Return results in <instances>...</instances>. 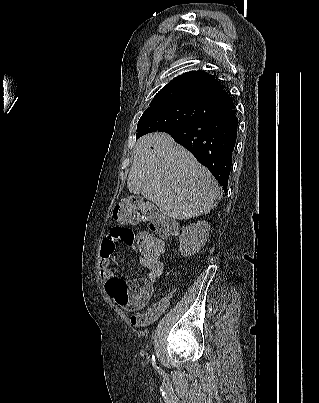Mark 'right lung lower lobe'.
<instances>
[{"label": "right lung lower lobe", "instance_id": "right-lung-lower-lobe-1", "mask_svg": "<svg viewBox=\"0 0 319 403\" xmlns=\"http://www.w3.org/2000/svg\"><path fill=\"white\" fill-rule=\"evenodd\" d=\"M237 126L238 119L233 108L210 113L188 124L166 127L160 132L170 134L188 149L227 192Z\"/></svg>", "mask_w": 319, "mask_h": 403}]
</instances>
